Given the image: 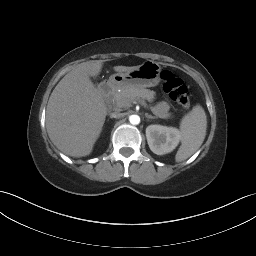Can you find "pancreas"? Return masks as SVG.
Instances as JSON below:
<instances>
[{"mask_svg":"<svg viewBox=\"0 0 256 256\" xmlns=\"http://www.w3.org/2000/svg\"><path fill=\"white\" fill-rule=\"evenodd\" d=\"M156 93L149 89L140 87H127L113 94V102L118 108H128L135 101L146 106V101L152 103Z\"/></svg>","mask_w":256,"mask_h":256,"instance_id":"cf45deb5","label":"pancreas"}]
</instances>
